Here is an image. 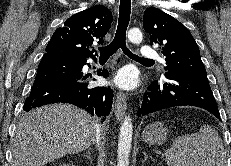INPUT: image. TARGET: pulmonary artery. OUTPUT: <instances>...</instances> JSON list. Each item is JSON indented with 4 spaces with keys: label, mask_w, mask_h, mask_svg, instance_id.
Here are the masks:
<instances>
[{
    "label": "pulmonary artery",
    "mask_w": 231,
    "mask_h": 166,
    "mask_svg": "<svg viewBox=\"0 0 231 166\" xmlns=\"http://www.w3.org/2000/svg\"><path fill=\"white\" fill-rule=\"evenodd\" d=\"M140 55L144 58H158L157 52L149 46H143L140 50Z\"/></svg>",
    "instance_id": "obj_1"
}]
</instances>
